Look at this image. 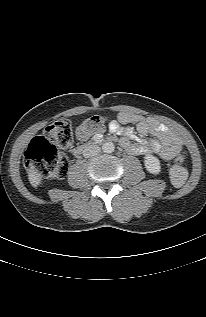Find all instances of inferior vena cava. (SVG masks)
I'll return each mask as SVG.
<instances>
[{
	"mask_svg": "<svg viewBox=\"0 0 206 317\" xmlns=\"http://www.w3.org/2000/svg\"><path fill=\"white\" fill-rule=\"evenodd\" d=\"M100 151V147L96 145H86L83 150V156L85 158H90L96 156Z\"/></svg>",
	"mask_w": 206,
	"mask_h": 317,
	"instance_id": "602c4592",
	"label": "inferior vena cava"
}]
</instances>
